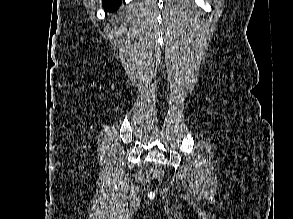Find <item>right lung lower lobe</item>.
<instances>
[{
	"label": "right lung lower lobe",
	"mask_w": 293,
	"mask_h": 219,
	"mask_svg": "<svg viewBox=\"0 0 293 219\" xmlns=\"http://www.w3.org/2000/svg\"><path fill=\"white\" fill-rule=\"evenodd\" d=\"M121 1L122 0H103V6L105 10L111 12L120 6Z\"/></svg>",
	"instance_id": "obj_1"
}]
</instances>
